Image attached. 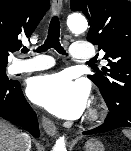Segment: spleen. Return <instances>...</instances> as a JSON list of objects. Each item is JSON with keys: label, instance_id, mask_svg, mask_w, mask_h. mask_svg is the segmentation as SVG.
I'll return each instance as SVG.
<instances>
[{"label": "spleen", "instance_id": "3e777b00", "mask_svg": "<svg viewBox=\"0 0 131 151\" xmlns=\"http://www.w3.org/2000/svg\"><path fill=\"white\" fill-rule=\"evenodd\" d=\"M124 135L131 140V130H123Z\"/></svg>", "mask_w": 131, "mask_h": 151}]
</instances>
